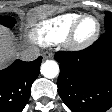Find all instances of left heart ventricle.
<instances>
[{"instance_id":"left-heart-ventricle-1","label":"left heart ventricle","mask_w":112,"mask_h":112,"mask_svg":"<svg viewBox=\"0 0 112 112\" xmlns=\"http://www.w3.org/2000/svg\"><path fill=\"white\" fill-rule=\"evenodd\" d=\"M95 30H96V21L92 18H87L81 23L77 32V37L80 40L88 39L93 35Z\"/></svg>"}]
</instances>
